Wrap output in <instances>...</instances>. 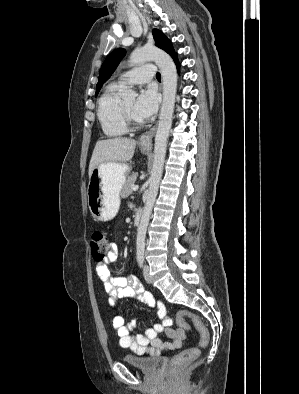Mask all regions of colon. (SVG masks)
<instances>
[{"label": "colon", "instance_id": "obj_1", "mask_svg": "<svg viewBox=\"0 0 299 394\" xmlns=\"http://www.w3.org/2000/svg\"><path fill=\"white\" fill-rule=\"evenodd\" d=\"M89 241H90L93 258L96 260H103L107 256L111 246V241L108 234L103 231H94L91 233L89 237ZM184 317L191 318L195 328L199 331L200 333L199 347L200 348L207 347L209 344V333L208 330L203 325L200 317H198L197 315H195L190 311H185V310L179 311L177 313V322L179 325H181L184 328L189 327L188 324L183 320ZM199 354H200V349L197 347L186 349L180 352L179 354H177L171 360L170 368L172 370L179 369L189 364L190 362L194 361L195 359H197Z\"/></svg>", "mask_w": 299, "mask_h": 394}]
</instances>
